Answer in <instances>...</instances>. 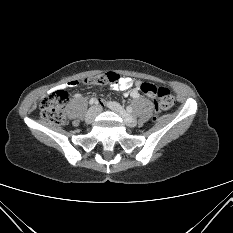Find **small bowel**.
<instances>
[{"instance_id": "small-bowel-1", "label": "small bowel", "mask_w": 233, "mask_h": 233, "mask_svg": "<svg viewBox=\"0 0 233 233\" xmlns=\"http://www.w3.org/2000/svg\"><path fill=\"white\" fill-rule=\"evenodd\" d=\"M106 77L112 81L111 90H121V91L129 90L128 95L131 98L135 99L139 97L140 91H141L140 86L142 84L141 81H135L129 77H123V76L120 77L113 71H110ZM87 83L89 84L90 82L88 81ZM79 85H80L79 81H73V82L65 83L59 86L50 87L47 89V92L48 93L57 92L65 88H70L72 90L73 89L72 87L74 86L78 87ZM149 97L152 98V96H149Z\"/></svg>"}]
</instances>
